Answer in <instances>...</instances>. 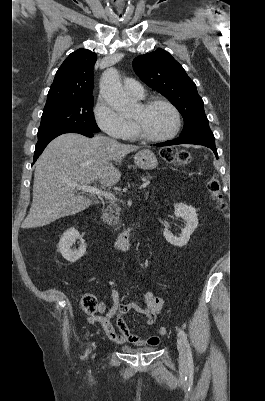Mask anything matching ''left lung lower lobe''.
Masks as SVG:
<instances>
[{
  "instance_id": "obj_1",
  "label": "left lung lower lobe",
  "mask_w": 265,
  "mask_h": 401,
  "mask_svg": "<svg viewBox=\"0 0 265 401\" xmlns=\"http://www.w3.org/2000/svg\"><path fill=\"white\" fill-rule=\"evenodd\" d=\"M178 144H196L206 146L213 150L215 156L218 158L217 150L215 147V138L210 128L203 129L188 135L180 136L179 138L172 141H166L156 144V146H169Z\"/></svg>"
}]
</instances>
